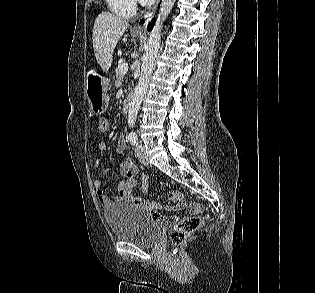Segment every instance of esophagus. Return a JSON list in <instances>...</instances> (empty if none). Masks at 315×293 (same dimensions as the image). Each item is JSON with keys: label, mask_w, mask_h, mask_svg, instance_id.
I'll list each match as a JSON object with an SVG mask.
<instances>
[{"label": "esophagus", "mask_w": 315, "mask_h": 293, "mask_svg": "<svg viewBox=\"0 0 315 293\" xmlns=\"http://www.w3.org/2000/svg\"><path fill=\"white\" fill-rule=\"evenodd\" d=\"M160 0H156L155 4L152 6V8H150V10L148 12H146L140 19L139 21L136 23V25L133 27V31L137 32V33H145L146 31V27L148 25V23L150 22V20L152 19V17L154 16L158 5H159Z\"/></svg>", "instance_id": "obj_1"}]
</instances>
